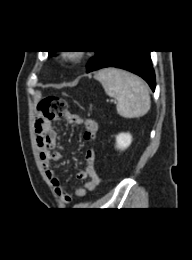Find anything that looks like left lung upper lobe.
Wrapping results in <instances>:
<instances>
[{
    "instance_id": "left-lung-upper-lobe-1",
    "label": "left lung upper lobe",
    "mask_w": 192,
    "mask_h": 260,
    "mask_svg": "<svg viewBox=\"0 0 192 260\" xmlns=\"http://www.w3.org/2000/svg\"><path fill=\"white\" fill-rule=\"evenodd\" d=\"M95 52H96V54H97L99 51H95ZM54 53H55V51H49V57H51ZM92 60H93V59H92ZM92 60H90V61L88 62L87 67L89 66V64L91 63Z\"/></svg>"
}]
</instances>
